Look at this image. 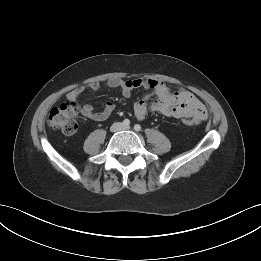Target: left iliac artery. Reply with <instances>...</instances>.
Returning a JSON list of instances; mask_svg holds the SVG:
<instances>
[{
	"instance_id": "left-iliac-artery-1",
	"label": "left iliac artery",
	"mask_w": 261,
	"mask_h": 261,
	"mask_svg": "<svg viewBox=\"0 0 261 261\" xmlns=\"http://www.w3.org/2000/svg\"><path fill=\"white\" fill-rule=\"evenodd\" d=\"M134 129H135V131H140L141 130V126L139 124H136L134 126Z\"/></svg>"
}]
</instances>
